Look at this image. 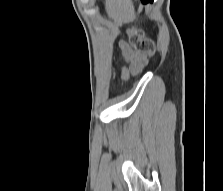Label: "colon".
Returning <instances> with one entry per match:
<instances>
[{"label":"colon","mask_w":223,"mask_h":191,"mask_svg":"<svg viewBox=\"0 0 223 191\" xmlns=\"http://www.w3.org/2000/svg\"><path fill=\"white\" fill-rule=\"evenodd\" d=\"M130 43L134 50L144 56H152L155 52V46L152 40L145 37L143 32L137 28L129 29Z\"/></svg>","instance_id":"obj_1"}]
</instances>
